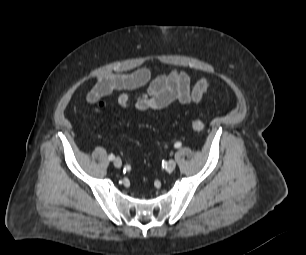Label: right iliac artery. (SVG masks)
Segmentation results:
<instances>
[{"label":"right iliac artery","instance_id":"obj_1","mask_svg":"<svg viewBox=\"0 0 306 255\" xmlns=\"http://www.w3.org/2000/svg\"><path fill=\"white\" fill-rule=\"evenodd\" d=\"M108 159H109V160H114V155H113V154H110V155L108 156Z\"/></svg>","mask_w":306,"mask_h":255}]
</instances>
